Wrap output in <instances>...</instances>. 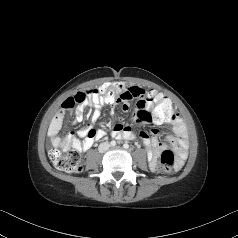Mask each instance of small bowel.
<instances>
[{
	"label": "small bowel",
	"instance_id": "1",
	"mask_svg": "<svg viewBox=\"0 0 238 238\" xmlns=\"http://www.w3.org/2000/svg\"><path fill=\"white\" fill-rule=\"evenodd\" d=\"M147 91L138 86H131L123 91L118 103H122L123 109H129V102L136 100L137 102V115L141 121L144 122H156L162 123V121L150 118L147 116L152 103L146 96ZM104 96L97 93H91L88 98L79 102L75 108V119L80 122L83 120L84 108L90 105L93 108L91 114V123H96L101 116V109L104 105L114 106L117 103H105ZM64 103V102H63ZM62 103L61 109L56 113L49 126V135L52 137V144L54 147L62 148L63 150L69 149L71 146L80 152L87 151L92 147L95 141L105 136V131L102 129H94L92 126H88L85 129L78 131L77 136L69 134L65 137H60L59 131L62 127L65 111L71 109L64 108ZM173 127L174 135H169L167 140L170 146L175 151L182 161L186 157V151L188 147L187 130L183 121L175 114V116L167 121ZM112 135L117 139L132 140L136 137V134L131 125L115 124L112 127ZM158 131L153 129L151 133L140 132L139 136L143 144L148 149V161L151 169H155L157 166V159L159 155L167 148L165 144L159 141Z\"/></svg>",
	"mask_w": 238,
	"mask_h": 238
}]
</instances>
